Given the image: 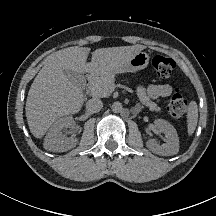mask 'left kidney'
<instances>
[{
	"label": "left kidney",
	"instance_id": "5707ae66",
	"mask_svg": "<svg viewBox=\"0 0 216 216\" xmlns=\"http://www.w3.org/2000/svg\"><path fill=\"white\" fill-rule=\"evenodd\" d=\"M154 123L156 129L165 135L166 143L159 145L155 140L151 139L147 141L146 146L158 155L170 156L177 154L179 151V138L176 129L163 119H157Z\"/></svg>",
	"mask_w": 216,
	"mask_h": 216
}]
</instances>
